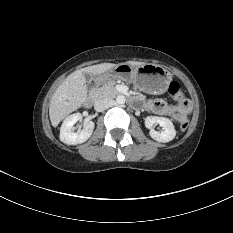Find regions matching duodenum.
<instances>
[{
	"label": "duodenum",
	"mask_w": 233,
	"mask_h": 233,
	"mask_svg": "<svg viewBox=\"0 0 233 233\" xmlns=\"http://www.w3.org/2000/svg\"><path fill=\"white\" fill-rule=\"evenodd\" d=\"M98 81L94 80L91 82L90 87L91 89H95L98 86ZM94 101V96L92 94L88 95L84 100V106L89 107Z\"/></svg>",
	"instance_id": "duodenum-1"
}]
</instances>
